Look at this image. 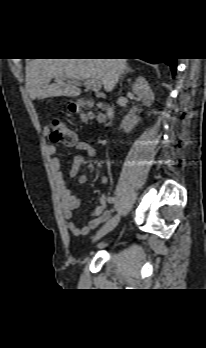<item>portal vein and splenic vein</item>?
<instances>
[{"mask_svg": "<svg viewBox=\"0 0 206 348\" xmlns=\"http://www.w3.org/2000/svg\"><path fill=\"white\" fill-rule=\"evenodd\" d=\"M84 86L94 91H98L101 88V82L95 79H88L84 81Z\"/></svg>", "mask_w": 206, "mask_h": 348, "instance_id": "1", "label": "portal vein and splenic vein"}]
</instances>
